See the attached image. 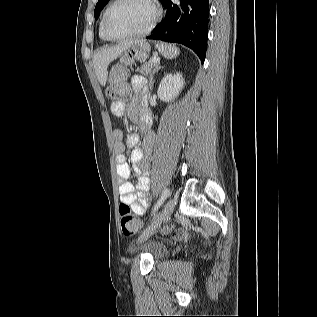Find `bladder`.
I'll use <instances>...</instances> for the list:
<instances>
[{
    "instance_id": "31cf9c89",
    "label": "bladder",
    "mask_w": 317,
    "mask_h": 317,
    "mask_svg": "<svg viewBox=\"0 0 317 317\" xmlns=\"http://www.w3.org/2000/svg\"><path fill=\"white\" fill-rule=\"evenodd\" d=\"M128 250L133 254L148 253L153 257H161L166 253L165 246L159 242L141 244L135 241L129 244Z\"/></svg>"
}]
</instances>
